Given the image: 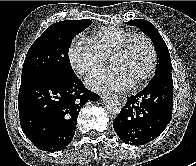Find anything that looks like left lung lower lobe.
Instances as JSON below:
<instances>
[{
    "mask_svg": "<svg viewBox=\"0 0 196 166\" xmlns=\"http://www.w3.org/2000/svg\"><path fill=\"white\" fill-rule=\"evenodd\" d=\"M172 73L154 76L136 95L128 97L113 127L130 145H143L159 136L172 118Z\"/></svg>",
    "mask_w": 196,
    "mask_h": 166,
    "instance_id": "0a47b994",
    "label": "left lung lower lobe"
}]
</instances>
